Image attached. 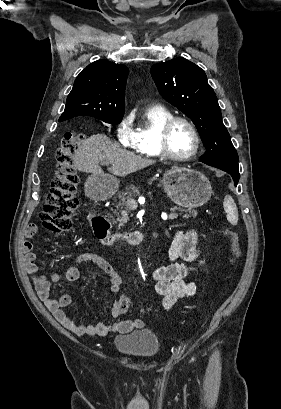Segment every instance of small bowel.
I'll use <instances>...</instances> for the list:
<instances>
[{"mask_svg": "<svg viewBox=\"0 0 281 409\" xmlns=\"http://www.w3.org/2000/svg\"><path fill=\"white\" fill-rule=\"evenodd\" d=\"M36 233V224H29L26 229V237L32 238ZM23 248L26 270L31 276L38 298L65 328L77 335L99 336L126 334L134 329L143 328L144 323L141 319H123L112 324L97 323L85 325L77 323L64 311V308L69 306L72 301L69 294L64 293L58 299L50 297L51 283H57L62 280H77L80 276V267L90 263L98 267L109 277L108 291L114 297L111 315L114 318L123 315L129 308L130 297L121 290V276L104 258L95 254H82L65 271L52 272L48 280L46 277L38 274V266L35 262L36 256L32 252L31 242L26 240ZM165 256L170 263L155 268L152 272V280L154 281L155 292L163 299V307L169 310L178 301L193 296L197 292L195 283L188 279L190 274L188 263L198 256L196 233L193 230L178 231L166 250Z\"/></svg>", "mask_w": 281, "mask_h": 409, "instance_id": "c3829d8e", "label": "small bowel"}]
</instances>
